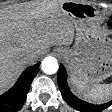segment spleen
Wrapping results in <instances>:
<instances>
[{"label": "spleen", "instance_id": "3e777b00", "mask_svg": "<svg viewBox=\"0 0 112 112\" xmlns=\"http://www.w3.org/2000/svg\"><path fill=\"white\" fill-rule=\"evenodd\" d=\"M72 83L77 91L90 101L100 102L112 97V83L91 85L75 76L72 77Z\"/></svg>", "mask_w": 112, "mask_h": 112}]
</instances>
